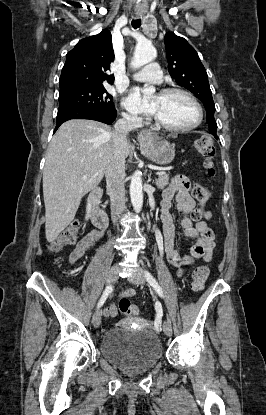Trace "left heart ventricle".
<instances>
[{
	"label": "left heart ventricle",
	"mask_w": 266,
	"mask_h": 415,
	"mask_svg": "<svg viewBox=\"0 0 266 415\" xmlns=\"http://www.w3.org/2000/svg\"><path fill=\"white\" fill-rule=\"evenodd\" d=\"M153 102L157 105L155 116L167 125L185 127L197 119L195 106L181 94H159L154 97Z\"/></svg>",
	"instance_id": "obj_1"
}]
</instances>
